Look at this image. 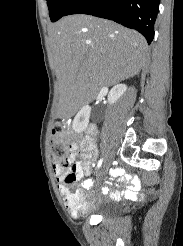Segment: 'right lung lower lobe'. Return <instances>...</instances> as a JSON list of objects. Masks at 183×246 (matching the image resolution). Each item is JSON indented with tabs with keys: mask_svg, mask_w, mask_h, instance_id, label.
Wrapping results in <instances>:
<instances>
[{
	"mask_svg": "<svg viewBox=\"0 0 183 246\" xmlns=\"http://www.w3.org/2000/svg\"><path fill=\"white\" fill-rule=\"evenodd\" d=\"M160 0H76L66 12L88 14L113 20L125 27L135 29L147 40L154 38V25L159 12Z\"/></svg>",
	"mask_w": 183,
	"mask_h": 246,
	"instance_id": "98d812e1",
	"label": "right lung lower lobe"
}]
</instances>
